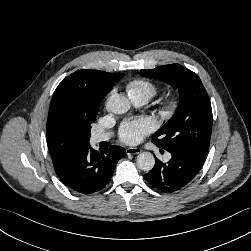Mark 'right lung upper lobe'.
<instances>
[{
    "instance_id": "cb5924a9",
    "label": "right lung upper lobe",
    "mask_w": 251,
    "mask_h": 251,
    "mask_svg": "<svg viewBox=\"0 0 251 251\" xmlns=\"http://www.w3.org/2000/svg\"><path fill=\"white\" fill-rule=\"evenodd\" d=\"M123 73L80 70L56 88L47 119L46 136L55 171L79 149L89 144L90 120Z\"/></svg>"
}]
</instances>
